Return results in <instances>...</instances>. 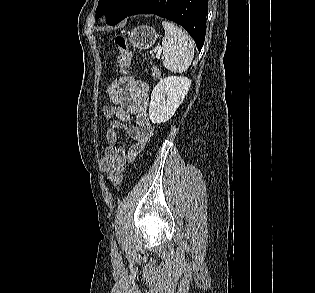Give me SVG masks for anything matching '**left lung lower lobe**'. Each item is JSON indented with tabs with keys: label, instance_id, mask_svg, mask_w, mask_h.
Wrapping results in <instances>:
<instances>
[{
	"label": "left lung lower lobe",
	"instance_id": "obj_1",
	"mask_svg": "<svg viewBox=\"0 0 315 293\" xmlns=\"http://www.w3.org/2000/svg\"><path fill=\"white\" fill-rule=\"evenodd\" d=\"M207 0H142L128 15L156 14L180 24L193 37L198 50L205 40Z\"/></svg>",
	"mask_w": 315,
	"mask_h": 293
}]
</instances>
